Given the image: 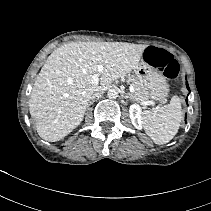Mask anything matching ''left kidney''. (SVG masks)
<instances>
[{"mask_svg":"<svg viewBox=\"0 0 211 211\" xmlns=\"http://www.w3.org/2000/svg\"><path fill=\"white\" fill-rule=\"evenodd\" d=\"M129 114L133 126L141 130L143 127L141 107L138 104H132L129 108Z\"/></svg>","mask_w":211,"mask_h":211,"instance_id":"obj_1","label":"left kidney"}]
</instances>
